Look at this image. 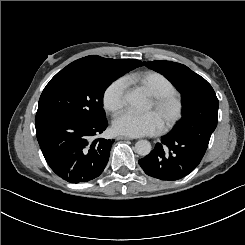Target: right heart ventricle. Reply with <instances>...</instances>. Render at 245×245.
<instances>
[{
    "mask_svg": "<svg viewBox=\"0 0 245 245\" xmlns=\"http://www.w3.org/2000/svg\"><path fill=\"white\" fill-rule=\"evenodd\" d=\"M128 84H135L147 93L176 92L174 84L162 73L151 70H136L124 77Z\"/></svg>",
    "mask_w": 245,
    "mask_h": 245,
    "instance_id": "right-heart-ventricle-1",
    "label": "right heart ventricle"
}]
</instances>
